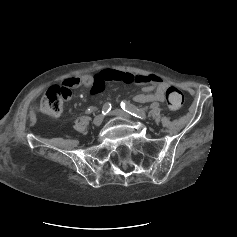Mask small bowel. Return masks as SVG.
<instances>
[{"label": "small bowel", "instance_id": "c3829d8e", "mask_svg": "<svg viewBox=\"0 0 237 237\" xmlns=\"http://www.w3.org/2000/svg\"><path fill=\"white\" fill-rule=\"evenodd\" d=\"M122 81L128 84L144 85L143 93L135 96V101L139 103L164 102L168 83L157 75H137L114 69H105L97 75L85 74L74 77L65 82H73L72 87L79 85L91 87L94 95L103 91L109 82ZM90 110V109H89Z\"/></svg>", "mask_w": 237, "mask_h": 237}]
</instances>
